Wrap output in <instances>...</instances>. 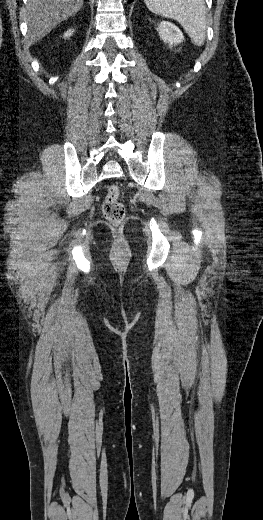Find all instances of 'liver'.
Returning <instances> with one entry per match:
<instances>
[{
	"label": "liver",
	"mask_w": 263,
	"mask_h": 520,
	"mask_svg": "<svg viewBox=\"0 0 263 520\" xmlns=\"http://www.w3.org/2000/svg\"><path fill=\"white\" fill-rule=\"evenodd\" d=\"M83 4L84 0H28L26 42L34 44L41 40L62 21L80 11Z\"/></svg>",
	"instance_id": "liver-1"
}]
</instances>
